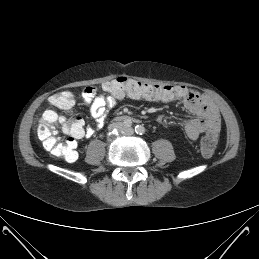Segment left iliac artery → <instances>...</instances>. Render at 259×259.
<instances>
[{"label": "left iliac artery", "mask_w": 259, "mask_h": 259, "mask_svg": "<svg viewBox=\"0 0 259 259\" xmlns=\"http://www.w3.org/2000/svg\"><path fill=\"white\" fill-rule=\"evenodd\" d=\"M135 132L139 135H143L146 132V129L142 125L135 126Z\"/></svg>", "instance_id": "left-iliac-artery-1"}]
</instances>
